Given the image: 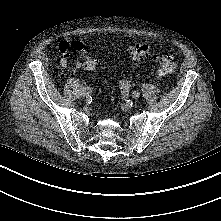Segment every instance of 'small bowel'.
Instances as JSON below:
<instances>
[{
    "instance_id": "small-bowel-1",
    "label": "small bowel",
    "mask_w": 221,
    "mask_h": 221,
    "mask_svg": "<svg viewBox=\"0 0 221 221\" xmlns=\"http://www.w3.org/2000/svg\"><path fill=\"white\" fill-rule=\"evenodd\" d=\"M59 52L63 55L62 59L60 60V66L63 69H80L82 68V62L77 61L74 64H71L68 60L69 56L72 52H78L82 54H86L87 48L85 44L79 41L73 42H61L58 45Z\"/></svg>"
}]
</instances>
